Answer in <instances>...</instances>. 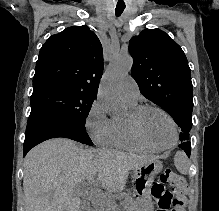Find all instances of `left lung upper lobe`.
Returning <instances> with one entry per match:
<instances>
[{
    "instance_id": "left-lung-upper-lobe-1",
    "label": "left lung upper lobe",
    "mask_w": 219,
    "mask_h": 211,
    "mask_svg": "<svg viewBox=\"0 0 219 211\" xmlns=\"http://www.w3.org/2000/svg\"><path fill=\"white\" fill-rule=\"evenodd\" d=\"M131 75L141 94L162 107L181 128L180 141L192 127L191 70L181 47L160 29H145L129 41Z\"/></svg>"
}]
</instances>
